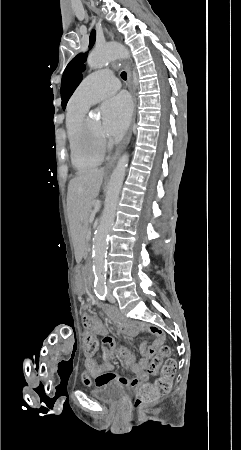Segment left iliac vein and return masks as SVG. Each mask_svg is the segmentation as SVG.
Segmentation results:
<instances>
[{
  "mask_svg": "<svg viewBox=\"0 0 241 450\" xmlns=\"http://www.w3.org/2000/svg\"><path fill=\"white\" fill-rule=\"evenodd\" d=\"M108 300L110 301V302H115V297L111 294V292L109 291V294H108Z\"/></svg>",
  "mask_w": 241,
  "mask_h": 450,
  "instance_id": "left-iliac-vein-1",
  "label": "left iliac vein"
}]
</instances>
